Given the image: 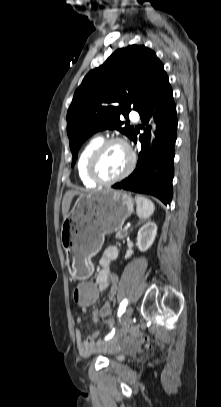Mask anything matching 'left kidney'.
<instances>
[{"mask_svg": "<svg viewBox=\"0 0 221 407\" xmlns=\"http://www.w3.org/2000/svg\"><path fill=\"white\" fill-rule=\"evenodd\" d=\"M157 235V225L154 222H147L138 231L137 246L140 251L148 250L153 244Z\"/></svg>", "mask_w": 221, "mask_h": 407, "instance_id": "left-kidney-1", "label": "left kidney"}]
</instances>
